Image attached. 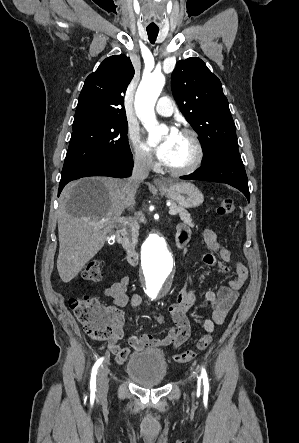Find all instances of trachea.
<instances>
[{"label":"trachea","instance_id":"3493384b","mask_svg":"<svg viewBox=\"0 0 299 443\" xmlns=\"http://www.w3.org/2000/svg\"><path fill=\"white\" fill-rule=\"evenodd\" d=\"M159 30H147L148 38L151 43H154L156 41V38L158 36Z\"/></svg>","mask_w":299,"mask_h":443}]
</instances>
